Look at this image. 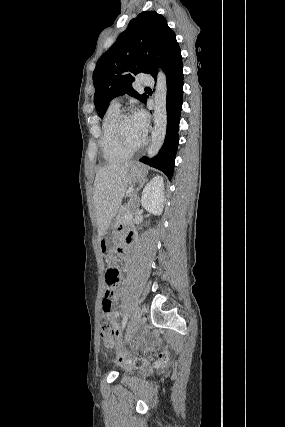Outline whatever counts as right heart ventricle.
Listing matches in <instances>:
<instances>
[{"instance_id":"e07e8e85","label":"right heart ventricle","mask_w":285,"mask_h":427,"mask_svg":"<svg viewBox=\"0 0 285 427\" xmlns=\"http://www.w3.org/2000/svg\"><path fill=\"white\" fill-rule=\"evenodd\" d=\"M119 114V106L111 104L108 107L103 118L100 135V147L103 153V157L106 161L112 163L126 161L133 154V152H129L123 149L116 139L114 125Z\"/></svg>"}]
</instances>
